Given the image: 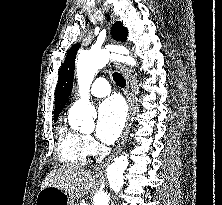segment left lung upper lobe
Here are the masks:
<instances>
[{"instance_id":"obj_1","label":"left lung upper lobe","mask_w":222,"mask_h":205,"mask_svg":"<svg viewBox=\"0 0 222 205\" xmlns=\"http://www.w3.org/2000/svg\"><path fill=\"white\" fill-rule=\"evenodd\" d=\"M112 38L117 41H125L127 38V29L120 21L112 26ZM79 47L80 44L78 43L68 50L65 61L60 68L59 80L55 91L54 122L58 119V116L68 101V97L71 93L73 87L75 57Z\"/></svg>"}]
</instances>
